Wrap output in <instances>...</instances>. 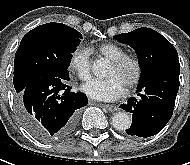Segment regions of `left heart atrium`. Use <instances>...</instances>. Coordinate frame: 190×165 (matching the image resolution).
<instances>
[{"instance_id":"left-heart-atrium-1","label":"left heart atrium","mask_w":190,"mask_h":165,"mask_svg":"<svg viewBox=\"0 0 190 165\" xmlns=\"http://www.w3.org/2000/svg\"><path fill=\"white\" fill-rule=\"evenodd\" d=\"M82 90L93 99L112 101L124 93L125 86L117 78L110 77L105 80H92Z\"/></svg>"}]
</instances>
